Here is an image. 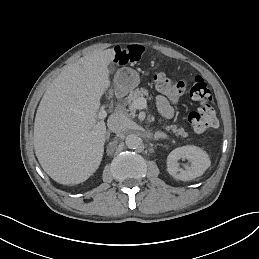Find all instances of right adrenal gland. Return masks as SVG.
I'll return each instance as SVG.
<instances>
[{"mask_svg":"<svg viewBox=\"0 0 259 259\" xmlns=\"http://www.w3.org/2000/svg\"><path fill=\"white\" fill-rule=\"evenodd\" d=\"M109 138H110V132H109V131H107V132H106V135H105V140H106V141H108V140H109Z\"/></svg>","mask_w":259,"mask_h":259,"instance_id":"obj_1","label":"right adrenal gland"}]
</instances>
